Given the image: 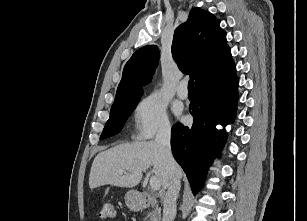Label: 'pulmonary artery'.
Returning a JSON list of instances; mask_svg holds the SVG:
<instances>
[{
	"instance_id": "e3ab8cb5",
	"label": "pulmonary artery",
	"mask_w": 307,
	"mask_h": 221,
	"mask_svg": "<svg viewBox=\"0 0 307 221\" xmlns=\"http://www.w3.org/2000/svg\"><path fill=\"white\" fill-rule=\"evenodd\" d=\"M177 96L180 99H186L188 97V90H187V82L186 80H182L177 87Z\"/></svg>"
}]
</instances>
